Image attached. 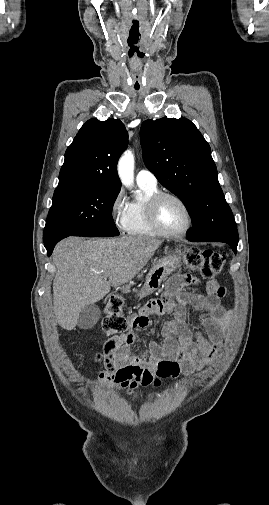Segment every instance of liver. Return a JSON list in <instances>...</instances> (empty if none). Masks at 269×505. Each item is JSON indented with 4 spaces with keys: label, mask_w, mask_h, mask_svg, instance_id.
<instances>
[{
    "label": "liver",
    "mask_w": 269,
    "mask_h": 505,
    "mask_svg": "<svg viewBox=\"0 0 269 505\" xmlns=\"http://www.w3.org/2000/svg\"><path fill=\"white\" fill-rule=\"evenodd\" d=\"M160 244V240L150 237H69L60 241L53 252L57 268L53 306L58 324L66 330L74 329L83 307L103 299L111 287L130 282Z\"/></svg>",
    "instance_id": "1"
}]
</instances>
